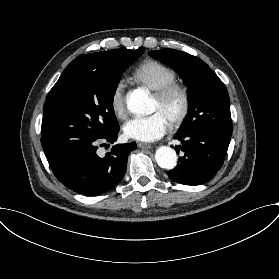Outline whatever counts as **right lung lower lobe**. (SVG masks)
I'll list each match as a JSON object with an SVG mask.
<instances>
[{"mask_svg":"<svg viewBox=\"0 0 279 279\" xmlns=\"http://www.w3.org/2000/svg\"><path fill=\"white\" fill-rule=\"evenodd\" d=\"M119 125L103 138L64 147L50 157L49 165L57 179L67 188L85 196H98L115 187L122 179L127 167V158L136 149V143L116 144L111 152L100 158L97 143H114Z\"/></svg>","mask_w":279,"mask_h":279,"instance_id":"right-lung-lower-lobe-1","label":"right lung lower lobe"}]
</instances>
